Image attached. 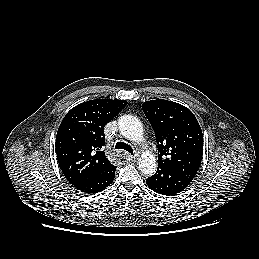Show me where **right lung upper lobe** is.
<instances>
[{
    "label": "right lung upper lobe",
    "mask_w": 259,
    "mask_h": 259,
    "mask_svg": "<svg viewBox=\"0 0 259 259\" xmlns=\"http://www.w3.org/2000/svg\"><path fill=\"white\" fill-rule=\"evenodd\" d=\"M125 100L96 99L72 108L56 136V154L66 179L77 186L115 167L106 158L104 127L126 105Z\"/></svg>",
    "instance_id": "1"
}]
</instances>
